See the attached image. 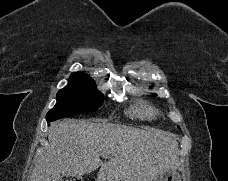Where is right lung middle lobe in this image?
Returning a JSON list of instances; mask_svg holds the SVG:
<instances>
[{"mask_svg": "<svg viewBox=\"0 0 228 181\" xmlns=\"http://www.w3.org/2000/svg\"><path fill=\"white\" fill-rule=\"evenodd\" d=\"M103 103V94L95 83L66 86L57 93L56 105L47 113L48 122L76 114L94 112Z\"/></svg>", "mask_w": 228, "mask_h": 181, "instance_id": "right-lung-middle-lobe-1", "label": "right lung middle lobe"}]
</instances>
